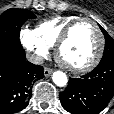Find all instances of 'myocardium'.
Masks as SVG:
<instances>
[{
    "mask_svg": "<svg viewBox=\"0 0 114 114\" xmlns=\"http://www.w3.org/2000/svg\"><path fill=\"white\" fill-rule=\"evenodd\" d=\"M85 21L90 22L94 26V28L98 34V37H99L98 49H97L96 54L92 58V60L89 63H87L86 65L79 66V67L71 66L70 64H68L67 62H65L63 60L61 52H62L64 45L71 37L72 32L75 29V27L78 24H80L81 22H85ZM55 47H56V49H55L56 58L62 66H64L66 69H68L69 71H71L75 74H83V73H87V72L93 70L99 64V62L103 56L104 49H105V37H104L101 27L99 26V24L96 21H94L93 19L88 18V17H79L76 20L72 21L64 29V31L60 35L59 39L57 40Z\"/></svg>",
    "mask_w": 114,
    "mask_h": 114,
    "instance_id": "myocardium-1",
    "label": "myocardium"
}]
</instances>
